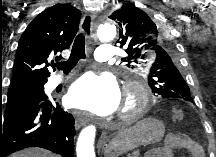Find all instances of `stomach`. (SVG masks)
Wrapping results in <instances>:
<instances>
[{"label": "stomach", "mask_w": 216, "mask_h": 157, "mask_svg": "<svg viewBox=\"0 0 216 157\" xmlns=\"http://www.w3.org/2000/svg\"><path fill=\"white\" fill-rule=\"evenodd\" d=\"M165 132L163 123L157 119L147 118L132 127L118 131L104 147L106 155L121 154L139 145L159 142Z\"/></svg>", "instance_id": "stomach-1"}]
</instances>
